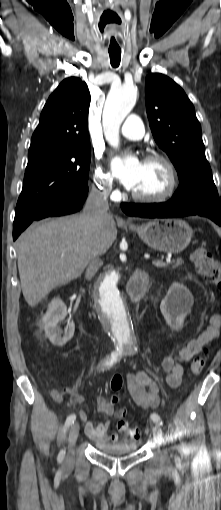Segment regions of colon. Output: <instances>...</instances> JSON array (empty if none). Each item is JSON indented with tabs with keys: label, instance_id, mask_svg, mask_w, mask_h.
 Returning <instances> with one entry per match:
<instances>
[{
	"label": "colon",
	"instance_id": "5ec220e1",
	"mask_svg": "<svg viewBox=\"0 0 221 510\" xmlns=\"http://www.w3.org/2000/svg\"><path fill=\"white\" fill-rule=\"evenodd\" d=\"M192 261L196 267V269L201 273L208 281L213 283L216 287L219 288L221 292V263H218L214 260L208 252L203 248H198L192 253ZM206 362L205 355H199L192 361L190 365V373L193 376H198L202 372ZM123 386V378L120 374H115L112 376L110 381V387L113 391H119ZM57 399L60 398L58 394L55 395ZM118 400L117 397L113 398V401L116 402ZM127 415L126 409L122 408L117 411L116 417L121 422V427H125L131 437L139 438L141 436L140 428H129L128 423L123 419ZM118 422V423H119Z\"/></svg>",
	"mask_w": 221,
	"mask_h": 510
}]
</instances>
